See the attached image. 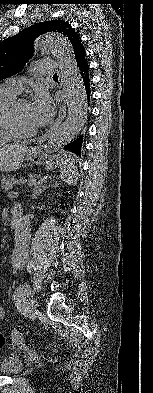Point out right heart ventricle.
Wrapping results in <instances>:
<instances>
[{"label": "right heart ventricle", "instance_id": "obj_1", "mask_svg": "<svg viewBox=\"0 0 153 393\" xmlns=\"http://www.w3.org/2000/svg\"><path fill=\"white\" fill-rule=\"evenodd\" d=\"M16 93L5 87H0V144L10 141L13 137L8 127L7 113L9 106L14 101Z\"/></svg>", "mask_w": 153, "mask_h": 393}]
</instances>
